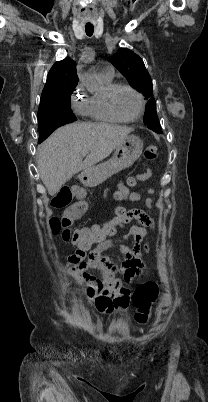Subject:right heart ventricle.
I'll use <instances>...</instances> for the list:
<instances>
[{
  "label": "right heart ventricle",
  "instance_id": "1",
  "mask_svg": "<svg viewBox=\"0 0 208 402\" xmlns=\"http://www.w3.org/2000/svg\"><path fill=\"white\" fill-rule=\"evenodd\" d=\"M103 82V90L94 92L89 104V122L95 126H114L122 123L110 112L107 104V94L115 86L112 79L99 76Z\"/></svg>",
  "mask_w": 208,
  "mask_h": 402
}]
</instances>
